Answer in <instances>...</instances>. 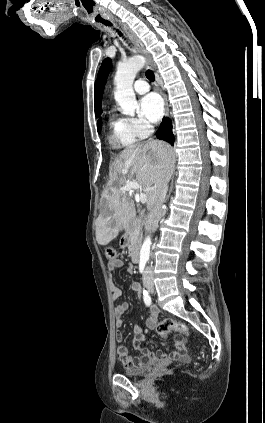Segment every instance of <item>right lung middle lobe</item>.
Returning <instances> with one entry per match:
<instances>
[{
    "mask_svg": "<svg viewBox=\"0 0 265 423\" xmlns=\"http://www.w3.org/2000/svg\"><path fill=\"white\" fill-rule=\"evenodd\" d=\"M101 127H102V125H101V119H99L98 122H97L98 133H100Z\"/></svg>",
    "mask_w": 265,
    "mask_h": 423,
    "instance_id": "obj_1",
    "label": "right lung middle lobe"
}]
</instances>
